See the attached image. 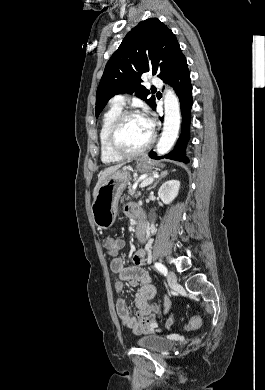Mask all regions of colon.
I'll return each instance as SVG.
<instances>
[{
  "mask_svg": "<svg viewBox=\"0 0 265 390\" xmlns=\"http://www.w3.org/2000/svg\"><path fill=\"white\" fill-rule=\"evenodd\" d=\"M102 246H103L107 256H109V257L116 256L118 251L116 248V241L114 238H112L110 236H105L102 239ZM152 306H153L154 312L158 313L160 311L159 307L156 304H153ZM202 319H203L202 315H200V314L196 315L186 324L185 328L188 330L197 329L201 325Z\"/></svg>",
  "mask_w": 265,
  "mask_h": 390,
  "instance_id": "obj_1",
  "label": "colon"
}]
</instances>
